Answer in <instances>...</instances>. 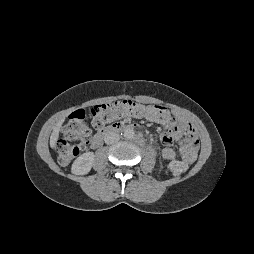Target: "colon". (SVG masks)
<instances>
[{
	"mask_svg": "<svg viewBox=\"0 0 254 254\" xmlns=\"http://www.w3.org/2000/svg\"><path fill=\"white\" fill-rule=\"evenodd\" d=\"M168 115L169 110L163 106L131 100L99 104L90 110L91 126L95 130L111 126L124 116L160 121L167 119ZM90 134L91 128L86 122L85 113L83 111L73 113L63 125L61 137L57 142L59 162L63 165L70 163L79 154ZM187 169L188 165L178 160L171 161L166 167L167 173L172 175H180Z\"/></svg>",
	"mask_w": 254,
	"mask_h": 254,
	"instance_id": "5ec220e1",
	"label": "colon"
}]
</instances>
